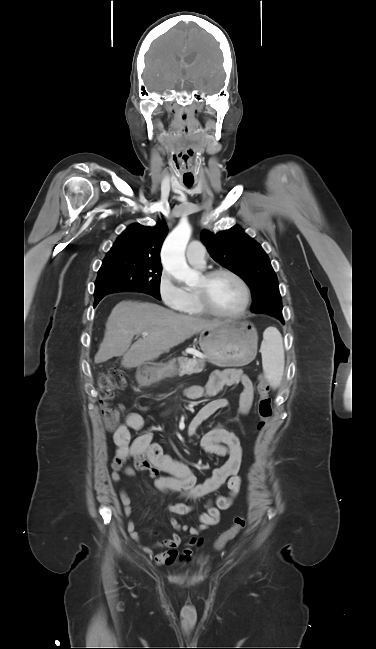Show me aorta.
Returning <instances> with one entry per match:
<instances>
[{
  "label": "aorta",
  "mask_w": 376,
  "mask_h": 649,
  "mask_svg": "<svg viewBox=\"0 0 376 649\" xmlns=\"http://www.w3.org/2000/svg\"><path fill=\"white\" fill-rule=\"evenodd\" d=\"M191 226L181 222L166 238L161 252L162 265L175 279L188 285L196 283L198 272L185 259V249L191 237Z\"/></svg>",
  "instance_id": "aorta-1"
}]
</instances>
